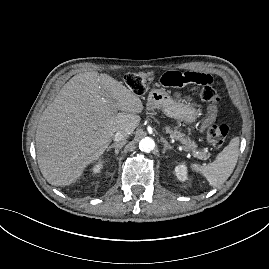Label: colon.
Segmentation results:
<instances>
[{
    "label": "colon",
    "instance_id": "obj_1",
    "mask_svg": "<svg viewBox=\"0 0 269 269\" xmlns=\"http://www.w3.org/2000/svg\"><path fill=\"white\" fill-rule=\"evenodd\" d=\"M177 73V72H176ZM166 74V73H165ZM180 74V73H177ZM202 75V74H200ZM154 75L152 72L130 73L125 77L126 86L138 95H143L150 83L153 81ZM186 91L192 94H198L202 101H209L213 104H218L222 100L220 92L212 86L206 88L200 85L188 83ZM228 134V126L225 124H212L206 132V139L213 148H220L225 143Z\"/></svg>",
    "mask_w": 269,
    "mask_h": 269
}]
</instances>
